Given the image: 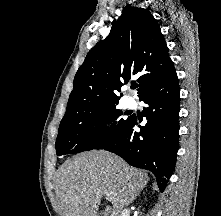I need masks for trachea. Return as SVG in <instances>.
<instances>
[{
    "instance_id": "1",
    "label": "trachea",
    "mask_w": 221,
    "mask_h": 216,
    "mask_svg": "<svg viewBox=\"0 0 221 216\" xmlns=\"http://www.w3.org/2000/svg\"><path fill=\"white\" fill-rule=\"evenodd\" d=\"M137 87H138L137 84L132 85V88H133V89H135V88H137Z\"/></svg>"
}]
</instances>
